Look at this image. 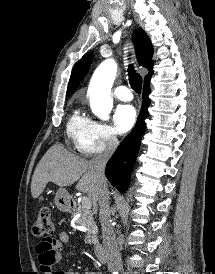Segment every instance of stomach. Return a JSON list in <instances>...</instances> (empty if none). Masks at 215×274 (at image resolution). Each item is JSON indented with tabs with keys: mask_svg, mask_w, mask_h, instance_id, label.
<instances>
[{
	"mask_svg": "<svg viewBox=\"0 0 215 274\" xmlns=\"http://www.w3.org/2000/svg\"><path fill=\"white\" fill-rule=\"evenodd\" d=\"M55 205L61 211H67L70 206V195L65 188H59L55 195Z\"/></svg>",
	"mask_w": 215,
	"mask_h": 274,
	"instance_id": "stomach-1",
	"label": "stomach"
}]
</instances>
